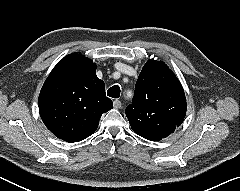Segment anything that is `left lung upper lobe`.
I'll list each match as a JSON object with an SVG mask.
<instances>
[{"instance_id": "5c2ea615", "label": "left lung upper lobe", "mask_w": 240, "mask_h": 191, "mask_svg": "<svg viewBox=\"0 0 240 191\" xmlns=\"http://www.w3.org/2000/svg\"><path fill=\"white\" fill-rule=\"evenodd\" d=\"M125 111L135 133L159 141L173 133L184 120V90L166 64L150 59L140 72L132 104Z\"/></svg>"}]
</instances>
